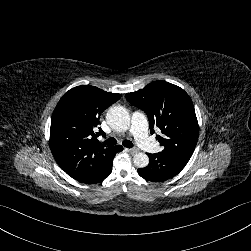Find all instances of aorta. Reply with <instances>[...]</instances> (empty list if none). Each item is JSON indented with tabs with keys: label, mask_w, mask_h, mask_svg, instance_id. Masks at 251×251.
<instances>
[{
	"label": "aorta",
	"mask_w": 251,
	"mask_h": 251,
	"mask_svg": "<svg viewBox=\"0 0 251 251\" xmlns=\"http://www.w3.org/2000/svg\"><path fill=\"white\" fill-rule=\"evenodd\" d=\"M107 124L117 132H125L130 126V116L123 106L111 107L106 115ZM134 165L145 168L149 164V157L143 152H137L133 156Z\"/></svg>",
	"instance_id": "aorta-1"
}]
</instances>
